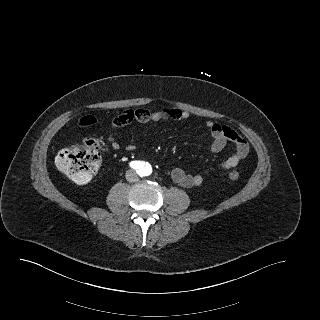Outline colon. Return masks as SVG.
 Returning a JSON list of instances; mask_svg holds the SVG:
<instances>
[{
    "label": "colon",
    "instance_id": "obj_1",
    "mask_svg": "<svg viewBox=\"0 0 320 320\" xmlns=\"http://www.w3.org/2000/svg\"><path fill=\"white\" fill-rule=\"evenodd\" d=\"M95 123L93 117L81 120V125L91 126ZM101 144L97 137H86L80 144L61 150L56 157V165L74 183L85 185L89 183L97 172L101 163ZM229 178L235 181L239 173L231 171Z\"/></svg>",
    "mask_w": 320,
    "mask_h": 320
}]
</instances>
